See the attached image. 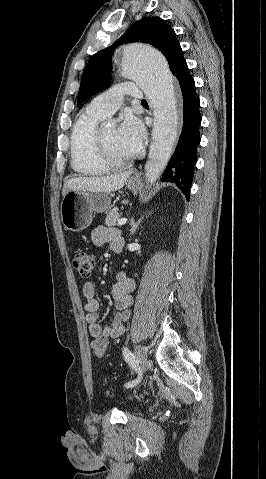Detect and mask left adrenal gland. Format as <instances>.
<instances>
[{
	"label": "left adrenal gland",
	"mask_w": 266,
	"mask_h": 479,
	"mask_svg": "<svg viewBox=\"0 0 266 479\" xmlns=\"http://www.w3.org/2000/svg\"><path fill=\"white\" fill-rule=\"evenodd\" d=\"M144 217H142L140 220H138V222H135L134 219L131 220V230H130V235L134 234L136 229L138 228L139 224L141 223L142 219Z\"/></svg>",
	"instance_id": "a2214340"
}]
</instances>
